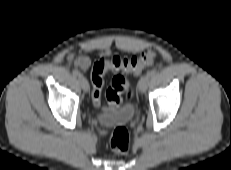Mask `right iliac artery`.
<instances>
[{"label":"right iliac artery","mask_w":231,"mask_h":170,"mask_svg":"<svg viewBox=\"0 0 231 170\" xmlns=\"http://www.w3.org/2000/svg\"><path fill=\"white\" fill-rule=\"evenodd\" d=\"M73 75L76 76V77H80L81 76V74H80V72L78 70H74L73 71Z\"/></svg>","instance_id":"1"}]
</instances>
